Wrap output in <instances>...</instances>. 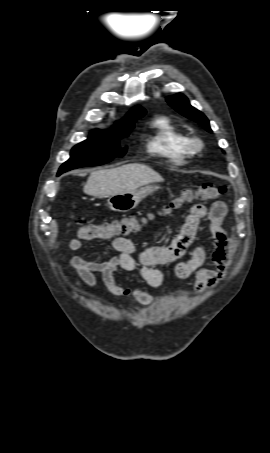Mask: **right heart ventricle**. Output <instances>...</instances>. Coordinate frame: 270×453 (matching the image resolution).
<instances>
[{"label": "right heart ventricle", "instance_id": "obj_1", "mask_svg": "<svg viewBox=\"0 0 270 453\" xmlns=\"http://www.w3.org/2000/svg\"><path fill=\"white\" fill-rule=\"evenodd\" d=\"M153 126L148 151L174 165L185 164L192 154L187 146L188 136L166 117L157 118Z\"/></svg>", "mask_w": 270, "mask_h": 453}]
</instances>
